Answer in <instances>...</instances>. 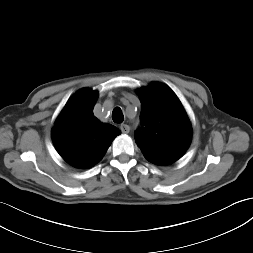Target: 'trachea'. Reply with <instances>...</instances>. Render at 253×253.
Here are the masks:
<instances>
[{
	"mask_svg": "<svg viewBox=\"0 0 253 253\" xmlns=\"http://www.w3.org/2000/svg\"><path fill=\"white\" fill-rule=\"evenodd\" d=\"M112 119L115 123H122L124 120V116L122 110L119 107H115L112 112Z\"/></svg>",
	"mask_w": 253,
	"mask_h": 253,
	"instance_id": "3493384b",
	"label": "trachea"
}]
</instances>
